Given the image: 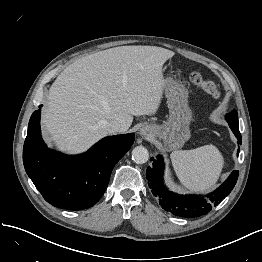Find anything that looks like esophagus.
Returning <instances> with one entry per match:
<instances>
[{
	"label": "esophagus",
	"mask_w": 262,
	"mask_h": 262,
	"mask_svg": "<svg viewBox=\"0 0 262 262\" xmlns=\"http://www.w3.org/2000/svg\"><path fill=\"white\" fill-rule=\"evenodd\" d=\"M139 134L147 140L153 139V135L151 134V132L148 130L147 127H142L139 131Z\"/></svg>",
	"instance_id": "1"
}]
</instances>
